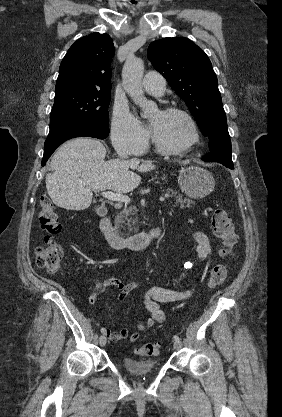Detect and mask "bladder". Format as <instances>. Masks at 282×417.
I'll use <instances>...</instances> for the list:
<instances>
[{"label": "bladder", "instance_id": "1", "mask_svg": "<svg viewBox=\"0 0 282 417\" xmlns=\"http://www.w3.org/2000/svg\"><path fill=\"white\" fill-rule=\"evenodd\" d=\"M122 367L126 372L137 377H143L150 374L156 368V361L141 360L130 356L122 359Z\"/></svg>", "mask_w": 282, "mask_h": 417}]
</instances>
